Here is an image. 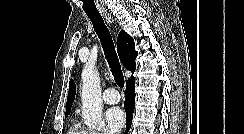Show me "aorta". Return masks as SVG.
Wrapping results in <instances>:
<instances>
[{
    "label": "aorta",
    "instance_id": "1",
    "mask_svg": "<svg viewBox=\"0 0 244 134\" xmlns=\"http://www.w3.org/2000/svg\"><path fill=\"white\" fill-rule=\"evenodd\" d=\"M82 118L92 129L102 128V96L100 75L96 70L85 69L82 72Z\"/></svg>",
    "mask_w": 244,
    "mask_h": 134
}]
</instances>
